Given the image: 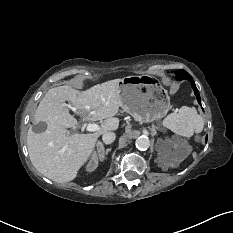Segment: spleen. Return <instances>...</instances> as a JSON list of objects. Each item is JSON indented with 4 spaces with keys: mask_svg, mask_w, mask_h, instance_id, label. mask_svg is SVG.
I'll use <instances>...</instances> for the list:
<instances>
[{
    "mask_svg": "<svg viewBox=\"0 0 233 233\" xmlns=\"http://www.w3.org/2000/svg\"><path fill=\"white\" fill-rule=\"evenodd\" d=\"M162 125L179 136L190 138L194 132L200 133L203 130L204 121L195 108L182 106L178 112L169 114ZM185 154L188 155L189 150Z\"/></svg>",
    "mask_w": 233,
    "mask_h": 233,
    "instance_id": "3e777b00",
    "label": "spleen"
}]
</instances>
